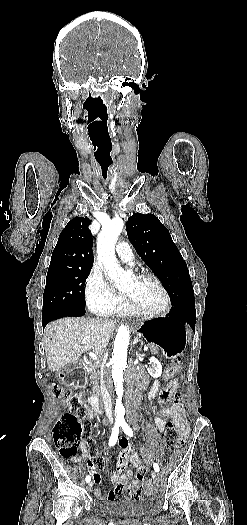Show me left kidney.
Segmentation results:
<instances>
[{"mask_svg":"<svg viewBox=\"0 0 247 525\" xmlns=\"http://www.w3.org/2000/svg\"><path fill=\"white\" fill-rule=\"evenodd\" d=\"M150 361L152 369H148V371L152 377H158V375H161L162 373V365L159 363V361H157V359H155V357H151Z\"/></svg>","mask_w":247,"mask_h":525,"instance_id":"obj_1","label":"left kidney"}]
</instances>
